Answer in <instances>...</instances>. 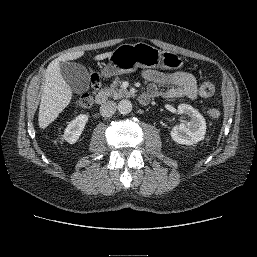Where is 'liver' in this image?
Wrapping results in <instances>:
<instances>
[{
	"mask_svg": "<svg viewBox=\"0 0 257 257\" xmlns=\"http://www.w3.org/2000/svg\"><path fill=\"white\" fill-rule=\"evenodd\" d=\"M112 52H106L95 56L96 61L109 58ZM84 55L83 51L63 54L53 60L45 74L41 102L39 107V127L46 128L69 105L72 99V90L66 83L60 72V62L76 60Z\"/></svg>",
	"mask_w": 257,
	"mask_h": 257,
	"instance_id": "obj_1",
	"label": "liver"
}]
</instances>
